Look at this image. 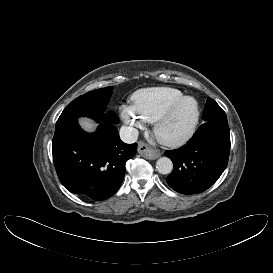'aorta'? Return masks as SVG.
<instances>
[{"label":"aorta","mask_w":273,"mask_h":273,"mask_svg":"<svg viewBox=\"0 0 273 273\" xmlns=\"http://www.w3.org/2000/svg\"><path fill=\"white\" fill-rule=\"evenodd\" d=\"M156 169L160 174H169L173 169V163L168 157H161L156 162Z\"/></svg>","instance_id":"aorta-1"}]
</instances>
